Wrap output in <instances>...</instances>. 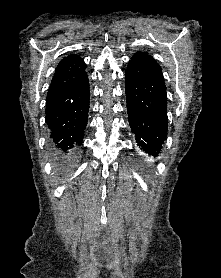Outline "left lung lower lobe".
I'll list each match as a JSON object with an SVG mask.
<instances>
[{"instance_id": "1", "label": "left lung lower lobe", "mask_w": 221, "mask_h": 278, "mask_svg": "<svg viewBox=\"0 0 221 278\" xmlns=\"http://www.w3.org/2000/svg\"><path fill=\"white\" fill-rule=\"evenodd\" d=\"M125 91L129 124L137 145L157 156L166 140L168 121L164 77L156 60H130Z\"/></svg>"}]
</instances>
